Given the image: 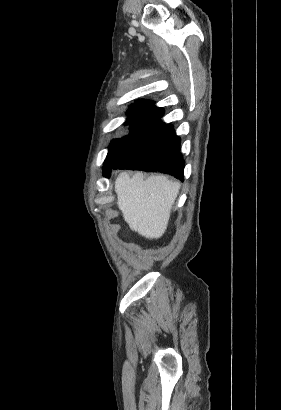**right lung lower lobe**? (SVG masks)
Returning <instances> with one entry per match:
<instances>
[{"instance_id": "right-lung-lower-lobe-1", "label": "right lung lower lobe", "mask_w": 281, "mask_h": 410, "mask_svg": "<svg viewBox=\"0 0 281 410\" xmlns=\"http://www.w3.org/2000/svg\"><path fill=\"white\" fill-rule=\"evenodd\" d=\"M184 165L180 152V138L175 134L171 124L161 122L140 140L113 170L159 171L183 181ZM111 171L104 172L103 176L109 178Z\"/></svg>"}]
</instances>
